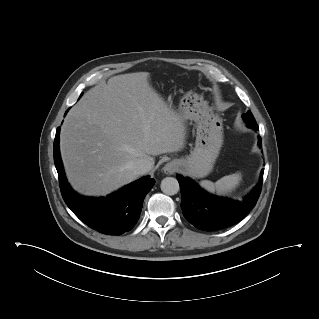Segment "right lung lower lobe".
I'll list each match as a JSON object with an SVG mask.
<instances>
[{
  "instance_id": "1",
  "label": "right lung lower lobe",
  "mask_w": 319,
  "mask_h": 319,
  "mask_svg": "<svg viewBox=\"0 0 319 319\" xmlns=\"http://www.w3.org/2000/svg\"><path fill=\"white\" fill-rule=\"evenodd\" d=\"M59 131L54 140V162L59 176L63 199L71 211L92 229L109 235L130 231L139 219L145 195L155 181L143 177L117 192L101 198L83 197L67 183L59 152Z\"/></svg>"
}]
</instances>
